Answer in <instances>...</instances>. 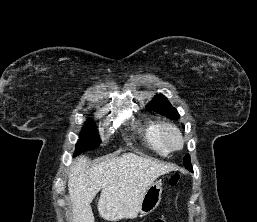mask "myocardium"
Listing matches in <instances>:
<instances>
[{
  "label": "myocardium",
  "instance_id": "1",
  "mask_svg": "<svg viewBox=\"0 0 257 222\" xmlns=\"http://www.w3.org/2000/svg\"><path fill=\"white\" fill-rule=\"evenodd\" d=\"M172 133L178 139V145H173L169 140V134ZM160 138L168 151H178L184 146V138L180 129L173 123H163L160 127Z\"/></svg>",
  "mask_w": 257,
  "mask_h": 222
}]
</instances>
